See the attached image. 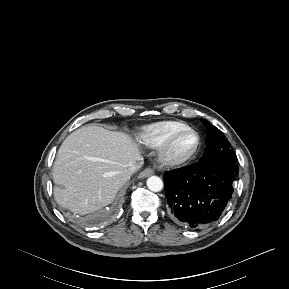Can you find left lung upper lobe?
Returning <instances> with one entry per match:
<instances>
[{
  "label": "left lung upper lobe",
  "instance_id": "left-lung-upper-lobe-1",
  "mask_svg": "<svg viewBox=\"0 0 289 289\" xmlns=\"http://www.w3.org/2000/svg\"><path fill=\"white\" fill-rule=\"evenodd\" d=\"M207 129L206 149L203 157L199 160L202 165H229L236 164L237 157L232 151L231 145L215 126L211 125L207 120L202 119Z\"/></svg>",
  "mask_w": 289,
  "mask_h": 289
}]
</instances>
